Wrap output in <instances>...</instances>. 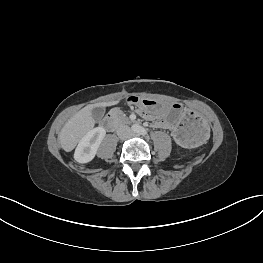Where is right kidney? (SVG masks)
<instances>
[{
	"mask_svg": "<svg viewBox=\"0 0 263 263\" xmlns=\"http://www.w3.org/2000/svg\"><path fill=\"white\" fill-rule=\"evenodd\" d=\"M105 135L103 127H96L86 133L75 149L74 159L79 163L92 161Z\"/></svg>",
	"mask_w": 263,
	"mask_h": 263,
	"instance_id": "right-kidney-1",
	"label": "right kidney"
}]
</instances>
